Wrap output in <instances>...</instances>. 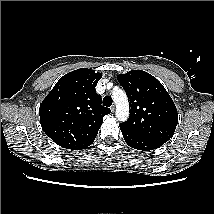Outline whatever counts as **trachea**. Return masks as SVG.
Instances as JSON below:
<instances>
[{
    "mask_svg": "<svg viewBox=\"0 0 214 214\" xmlns=\"http://www.w3.org/2000/svg\"><path fill=\"white\" fill-rule=\"evenodd\" d=\"M112 99L109 96L103 98V105L106 107H110L112 105Z\"/></svg>",
    "mask_w": 214,
    "mask_h": 214,
    "instance_id": "obj_1",
    "label": "trachea"
}]
</instances>
